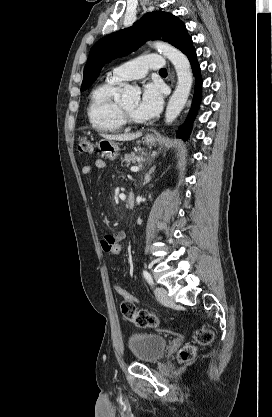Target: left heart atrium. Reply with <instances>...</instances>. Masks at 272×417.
Returning <instances> with one entry per match:
<instances>
[{
	"label": "left heart atrium",
	"instance_id": "obj_1",
	"mask_svg": "<svg viewBox=\"0 0 272 417\" xmlns=\"http://www.w3.org/2000/svg\"><path fill=\"white\" fill-rule=\"evenodd\" d=\"M163 105V91L157 83H147L142 92L136 114L141 119H149L159 113Z\"/></svg>",
	"mask_w": 272,
	"mask_h": 417
}]
</instances>
